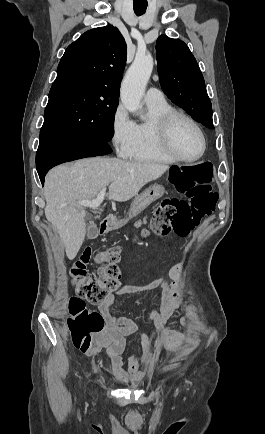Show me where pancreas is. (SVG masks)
<instances>
[{"label":"pancreas","instance_id":"1","mask_svg":"<svg viewBox=\"0 0 265 434\" xmlns=\"http://www.w3.org/2000/svg\"><path fill=\"white\" fill-rule=\"evenodd\" d=\"M142 224H147L146 218H144L143 222H141V220L140 222H135L134 226L135 228H141Z\"/></svg>","mask_w":265,"mask_h":434}]
</instances>
